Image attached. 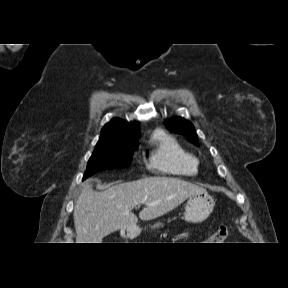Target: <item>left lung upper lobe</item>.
Here are the masks:
<instances>
[{"instance_id":"1","label":"left lung upper lobe","mask_w":288,"mask_h":288,"mask_svg":"<svg viewBox=\"0 0 288 288\" xmlns=\"http://www.w3.org/2000/svg\"><path fill=\"white\" fill-rule=\"evenodd\" d=\"M166 127L170 131L183 134L187 136L190 141L196 142L197 136L194 126L191 122L184 120V118H176L166 122Z\"/></svg>"}]
</instances>
